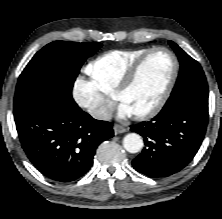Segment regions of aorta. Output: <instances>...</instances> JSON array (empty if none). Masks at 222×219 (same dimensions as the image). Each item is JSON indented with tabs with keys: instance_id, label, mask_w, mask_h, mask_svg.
<instances>
[{
	"instance_id": "762f6f07",
	"label": "aorta",
	"mask_w": 222,
	"mask_h": 219,
	"mask_svg": "<svg viewBox=\"0 0 222 219\" xmlns=\"http://www.w3.org/2000/svg\"><path fill=\"white\" fill-rule=\"evenodd\" d=\"M143 140L136 133H129L123 139V146L129 153H137L143 148Z\"/></svg>"
}]
</instances>
